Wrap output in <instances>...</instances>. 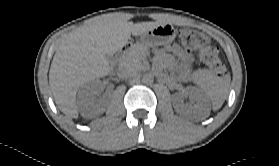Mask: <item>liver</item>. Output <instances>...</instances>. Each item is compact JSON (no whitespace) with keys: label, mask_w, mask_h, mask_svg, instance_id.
<instances>
[{"label":"liver","mask_w":279,"mask_h":166,"mask_svg":"<svg viewBox=\"0 0 279 166\" xmlns=\"http://www.w3.org/2000/svg\"><path fill=\"white\" fill-rule=\"evenodd\" d=\"M158 22H128L121 14L97 17L89 25L67 34L53 57L49 83L58 108L71 118H78L76 93L89 80L110 73L106 54L122 49L130 36H141Z\"/></svg>","instance_id":"liver-1"}]
</instances>
